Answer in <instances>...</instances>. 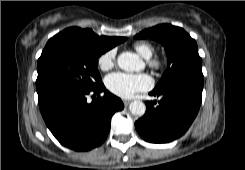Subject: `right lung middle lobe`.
I'll list each match as a JSON object with an SVG mask.
<instances>
[{"label":"right lung middle lobe","instance_id":"obj_1","mask_svg":"<svg viewBox=\"0 0 245 170\" xmlns=\"http://www.w3.org/2000/svg\"><path fill=\"white\" fill-rule=\"evenodd\" d=\"M103 53L74 40L51 38L37 63L39 103L61 93L98 87L101 84L98 58Z\"/></svg>","mask_w":245,"mask_h":170}]
</instances>
